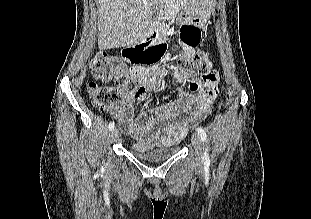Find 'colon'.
I'll return each mask as SVG.
<instances>
[{"instance_id":"colon-1","label":"colon","mask_w":311,"mask_h":219,"mask_svg":"<svg viewBox=\"0 0 311 219\" xmlns=\"http://www.w3.org/2000/svg\"><path fill=\"white\" fill-rule=\"evenodd\" d=\"M181 39L186 43L192 44H197L199 41L192 26L183 27ZM128 49H126V53L131 61L138 64L156 62L165 52V48H160L151 54H146L145 52L141 55L133 56L128 52ZM89 67L93 77L105 83L100 85L90 82L87 86L92 104L99 109L118 105L120 102V92L132 94L138 98L145 91L143 86L134 84L132 69L128 68L123 59L112 58L104 52H97L90 60ZM180 67L185 73L204 75L209 72L210 62L206 54L199 53L192 58H183L180 61ZM197 88L198 84L196 82L190 83L192 91H196Z\"/></svg>"}]
</instances>
